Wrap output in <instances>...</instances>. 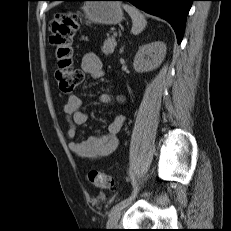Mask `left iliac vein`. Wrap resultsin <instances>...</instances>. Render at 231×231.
I'll return each mask as SVG.
<instances>
[{
  "instance_id": "4c4485c4",
  "label": "left iliac vein",
  "mask_w": 231,
  "mask_h": 231,
  "mask_svg": "<svg viewBox=\"0 0 231 231\" xmlns=\"http://www.w3.org/2000/svg\"><path fill=\"white\" fill-rule=\"evenodd\" d=\"M121 211H122V209L119 208V209H116L112 212V214L110 215L109 220L107 222L108 228L117 227L118 221H119L120 216H121Z\"/></svg>"
}]
</instances>
